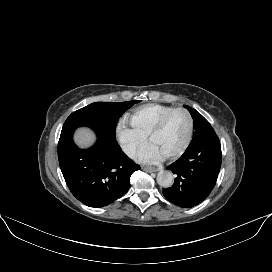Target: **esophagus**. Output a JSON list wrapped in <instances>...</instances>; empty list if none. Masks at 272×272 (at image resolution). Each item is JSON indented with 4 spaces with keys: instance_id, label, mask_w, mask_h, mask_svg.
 <instances>
[{
    "instance_id": "34e87169",
    "label": "esophagus",
    "mask_w": 272,
    "mask_h": 272,
    "mask_svg": "<svg viewBox=\"0 0 272 272\" xmlns=\"http://www.w3.org/2000/svg\"><path fill=\"white\" fill-rule=\"evenodd\" d=\"M142 169L146 172H157L160 170V168H153V167H143Z\"/></svg>"
}]
</instances>
